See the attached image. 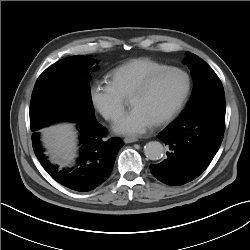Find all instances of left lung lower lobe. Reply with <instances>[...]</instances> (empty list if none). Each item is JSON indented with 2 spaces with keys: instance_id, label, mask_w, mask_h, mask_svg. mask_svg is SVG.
<instances>
[{
  "instance_id": "1",
  "label": "left lung lower lobe",
  "mask_w": 250,
  "mask_h": 250,
  "mask_svg": "<svg viewBox=\"0 0 250 250\" xmlns=\"http://www.w3.org/2000/svg\"><path fill=\"white\" fill-rule=\"evenodd\" d=\"M225 97L205 103L169 124L158 138L168 148L167 157L150 165L161 182L179 186L197 178L218 151L225 129Z\"/></svg>"
}]
</instances>
